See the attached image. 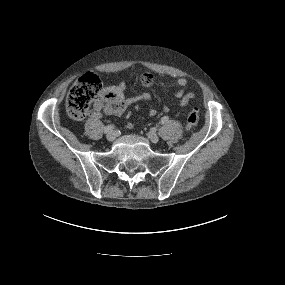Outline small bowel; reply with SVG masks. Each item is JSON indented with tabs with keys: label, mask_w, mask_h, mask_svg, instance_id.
<instances>
[{
	"label": "small bowel",
	"mask_w": 285,
	"mask_h": 285,
	"mask_svg": "<svg viewBox=\"0 0 285 285\" xmlns=\"http://www.w3.org/2000/svg\"><path fill=\"white\" fill-rule=\"evenodd\" d=\"M154 78L152 75L144 73L140 76V83L143 87L150 88L154 85ZM188 82L185 78H179L177 80V90L175 91V97L178 99V106L185 108L195 98V94L187 92ZM126 83L121 81L116 85L107 86L102 91L101 98L94 103L93 117L100 118L103 114L106 115H122L130 106L136 103L148 102L151 99V95L147 92H143L134 96H127L125 94ZM163 111L169 113L171 107L168 104L163 106ZM157 115V110L151 109L149 116L154 117ZM128 128L134 127L133 123L127 124Z\"/></svg>",
	"instance_id": "1"
}]
</instances>
